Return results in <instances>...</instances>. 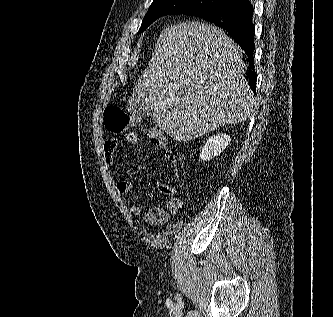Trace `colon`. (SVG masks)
<instances>
[{"label": "colon", "instance_id": "obj_1", "mask_svg": "<svg viewBox=\"0 0 333 317\" xmlns=\"http://www.w3.org/2000/svg\"><path fill=\"white\" fill-rule=\"evenodd\" d=\"M139 122V118L129 114L123 108L119 106H109L104 111V124L107 131L114 134H119L127 130L128 128L136 125ZM151 143L156 147H162V138L158 133H151ZM169 160H172L171 155H167Z\"/></svg>", "mask_w": 333, "mask_h": 317}]
</instances>
